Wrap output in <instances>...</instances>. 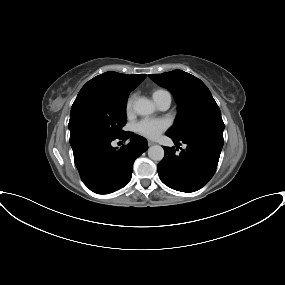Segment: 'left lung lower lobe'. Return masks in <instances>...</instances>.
<instances>
[{"instance_id":"0a47b994","label":"left lung lower lobe","mask_w":285,"mask_h":285,"mask_svg":"<svg viewBox=\"0 0 285 285\" xmlns=\"http://www.w3.org/2000/svg\"><path fill=\"white\" fill-rule=\"evenodd\" d=\"M167 136L175 144H187V148L178 155L174 147H164L165 156L158 164L161 181L177 191L199 190L215 173L224 143L223 137L204 133L180 140Z\"/></svg>"}]
</instances>
